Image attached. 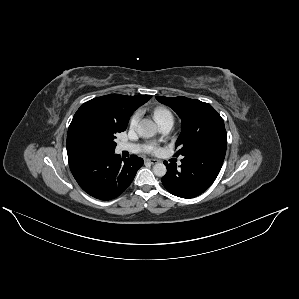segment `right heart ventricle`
Masks as SVG:
<instances>
[{
	"mask_svg": "<svg viewBox=\"0 0 299 299\" xmlns=\"http://www.w3.org/2000/svg\"><path fill=\"white\" fill-rule=\"evenodd\" d=\"M153 114L159 123L164 120H173L171 111L164 107L155 108Z\"/></svg>",
	"mask_w": 299,
	"mask_h": 299,
	"instance_id": "1",
	"label": "right heart ventricle"
}]
</instances>
